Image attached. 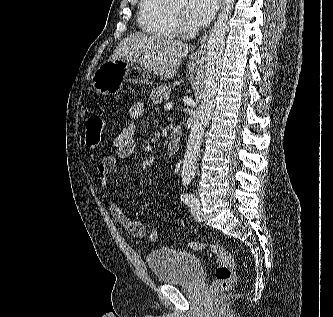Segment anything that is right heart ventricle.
Wrapping results in <instances>:
<instances>
[{
    "label": "right heart ventricle",
    "mask_w": 333,
    "mask_h": 317,
    "mask_svg": "<svg viewBox=\"0 0 333 317\" xmlns=\"http://www.w3.org/2000/svg\"><path fill=\"white\" fill-rule=\"evenodd\" d=\"M167 0H140L138 5V24L145 33L165 39L178 36L177 24L170 17Z\"/></svg>",
    "instance_id": "e07e8e85"
}]
</instances>
